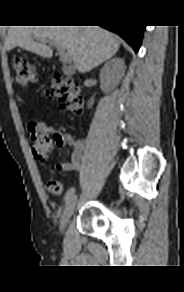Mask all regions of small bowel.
I'll return each instance as SVG.
<instances>
[{"label": "small bowel", "instance_id": "obj_1", "mask_svg": "<svg viewBox=\"0 0 184 292\" xmlns=\"http://www.w3.org/2000/svg\"><path fill=\"white\" fill-rule=\"evenodd\" d=\"M51 141L58 147L69 146L73 149L70 162H64L57 166L60 172L78 170L83 162V142L75 139L71 134L53 131Z\"/></svg>", "mask_w": 184, "mask_h": 292}]
</instances>
